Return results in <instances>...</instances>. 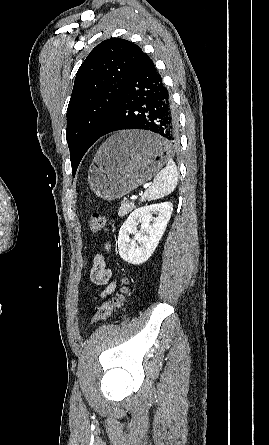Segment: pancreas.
Segmentation results:
<instances>
[{
	"mask_svg": "<svg viewBox=\"0 0 269 445\" xmlns=\"http://www.w3.org/2000/svg\"><path fill=\"white\" fill-rule=\"evenodd\" d=\"M135 204L134 203H122L119 210H118V215L120 217L125 216L126 214H128L133 208H134Z\"/></svg>",
	"mask_w": 269,
	"mask_h": 445,
	"instance_id": "obj_1",
	"label": "pancreas"
}]
</instances>
